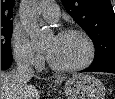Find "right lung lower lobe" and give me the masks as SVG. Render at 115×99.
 Here are the masks:
<instances>
[{
  "label": "right lung lower lobe",
  "mask_w": 115,
  "mask_h": 99,
  "mask_svg": "<svg viewBox=\"0 0 115 99\" xmlns=\"http://www.w3.org/2000/svg\"><path fill=\"white\" fill-rule=\"evenodd\" d=\"M12 64V59L10 60H3L1 59V70H6L8 69Z\"/></svg>",
  "instance_id": "1"
}]
</instances>
